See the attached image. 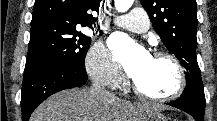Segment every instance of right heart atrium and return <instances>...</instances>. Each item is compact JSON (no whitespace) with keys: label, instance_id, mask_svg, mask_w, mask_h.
Listing matches in <instances>:
<instances>
[{"label":"right heart atrium","instance_id":"d8ad5b80","mask_svg":"<svg viewBox=\"0 0 217 121\" xmlns=\"http://www.w3.org/2000/svg\"><path fill=\"white\" fill-rule=\"evenodd\" d=\"M85 67L90 78L99 85L115 88L123 81L118 65L103 45H96L89 50Z\"/></svg>","mask_w":217,"mask_h":121}]
</instances>
